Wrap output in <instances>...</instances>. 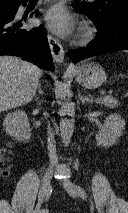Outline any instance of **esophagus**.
Wrapping results in <instances>:
<instances>
[{
    "instance_id": "1",
    "label": "esophagus",
    "mask_w": 128,
    "mask_h": 213,
    "mask_svg": "<svg viewBox=\"0 0 128 213\" xmlns=\"http://www.w3.org/2000/svg\"><path fill=\"white\" fill-rule=\"evenodd\" d=\"M47 38L54 61L57 63H63L65 53L61 43L50 33H48Z\"/></svg>"
}]
</instances>
